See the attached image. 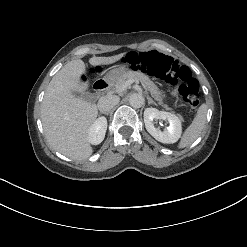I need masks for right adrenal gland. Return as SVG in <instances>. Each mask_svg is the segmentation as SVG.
<instances>
[{
	"mask_svg": "<svg viewBox=\"0 0 247 247\" xmlns=\"http://www.w3.org/2000/svg\"><path fill=\"white\" fill-rule=\"evenodd\" d=\"M101 114H104V115H109V111H107V112H100Z\"/></svg>",
	"mask_w": 247,
	"mask_h": 247,
	"instance_id": "1",
	"label": "right adrenal gland"
}]
</instances>
